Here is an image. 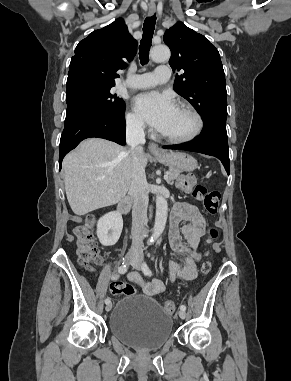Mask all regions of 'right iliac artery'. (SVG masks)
Segmentation results:
<instances>
[{
    "label": "right iliac artery",
    "mask_w": 291,
    "mask_h": 381,
    "mask_svg": "<svg viewBox=\"0 0 291 381\" xmlns=\"http://www.w3.org/2000/svg\"><path fill=\"white\" fill-rule=\"evenodd\" d=\"M118 272H119L120 274H124V273H126V272H127V266H126V265H121V266L118 268ZM105 303H106V304L110 303V299H109V298H106V299H105Z\"/></svg>",
    "instance_id": "82829eb1"
}]
</instances>
